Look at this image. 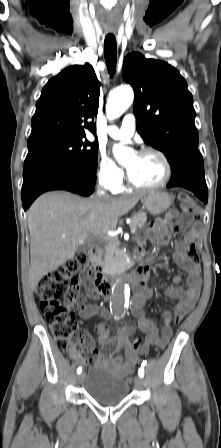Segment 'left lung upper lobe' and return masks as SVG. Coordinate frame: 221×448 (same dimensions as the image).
Instances as JSON below:
<instances>
[{
	"mask_svg": "<svg viewBox=\"0 0 221 448\" xmlns=\"http://www.w3.org/2000/svg\"><path fill=\"white\" fill-rule=\"evenodd\" d=\"M122 75L134 89L137 131L144 141L163 152L171 167L200 154L193 97L180 73L133 52L124 59Z\"/></svg>",
	"mask_w": 221,
	"mask_h": 448,
	"instance_id": "5c2ea615",
	"label": "left lung upper lobe"
}]
</instances>
